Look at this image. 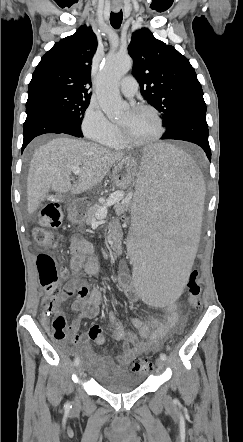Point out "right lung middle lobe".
Instances as JSON below:
<instances>
[{"label": "right lung middle lobe", "instance_id": "right-lung-middle-lobe-1", "mask_svg": "<svg viewBox=\"0 0 243 442\" xmlns=\"http://www.w3.org/2000/svg\"><path fill=\"white\" fill-rule=\"evenodd\" d=\"M89 103V98H84L82 96L73 95L66 92L50 91L28 97L26 108L31 106L50 107L60 112L76 127L81 129L83 115Z\"/></svg>", "mask_w": 243, "mask_h": 442}]
</instances>
